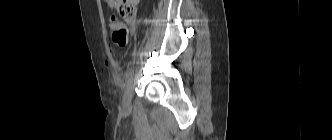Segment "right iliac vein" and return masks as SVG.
Returning a JSON list of instances; mask_svg holds the SVG:
<instances>
[{
    "instance_id": "right-iliac-vein-1",
    "label": "right iliac vein",
    "mask_w": 332,
    "mask_h": 140,
    "mask_svg": "<svg viewBox=\"0 0 332 140\" xmlns=\"http://www.w3.org/2000/svg\"><path fill=\"white\" fill-rule=\"evenodd\" d=\"M132 90H133L132 81H130L123 95V101H122L123 110L125 112H129L131 110Z\"/></svg>"
}]
</instances>
